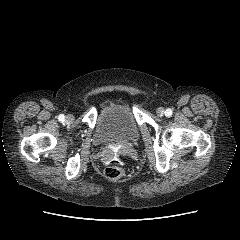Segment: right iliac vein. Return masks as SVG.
<instances>
[{"label": "right iliac vein", "instance_id": "63e3f726", "mask_svg": "<svg viewBox=\"0 0 240 240\" xmlns=\"http://www.w3.org/2000/svg\"><path fill=\"white\" fill-rule=\"evenodd\" d=\"M66 121L67 122H72L73 121V116L72 115H67L66 116Z\"/></svg>", "mask_w": 240, "mask_h": 240}]
</instances>
